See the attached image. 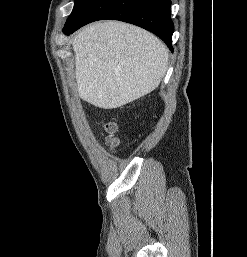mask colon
I'll use <instances>...</instances> for the list:
<instances>
[{
	"mask_svg": "<svg viewBox=\"0 0 247 257\" xmlns=\"http://www.w3.org/2000/svg\"><path fill=\"white\" fill-rule=\"evenodd\" d=\"M104 132L107 134L106 140L111 148H115L118 145V139L115 134L117 132V124L113 121H107L102 124Z\"/></svg>",
	"mask_w": 247,
	"mask_h": 257,
	"instance_id": "colon-1",
	"label": "colon"
}]
</instances>
